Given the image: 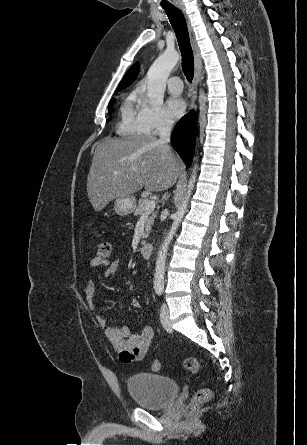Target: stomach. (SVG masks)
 I'll use <instances>...</instances> for the list:
<instances>
[{
	"mask_svg": "<svg viewBox=\"0 0 307 445\" xmlns=\"http://www.w3.org/2000/svg\"><path fill=\"white\" fill-rule=\"evenodd\" d=\"M136 208V198L135 196H118L114 202V210L116 214L120 216H125V214H130Z\"/></svg>",
	"mask_w": 307,
	"mask_h": 445,
	"instance_id": "stomach-1",
	"label": "stomach"
}]
</instances>
